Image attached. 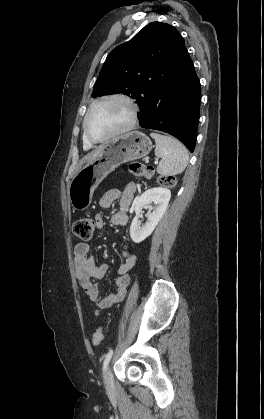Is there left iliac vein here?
Instances as JSON below:
<instances>
[{
    "instance_id": "1",
    "label": "left iliac vein",
    "mask_w": 264,
    "mask_h": 419,
    "mask_svg": "<svg viewBox=\"0 0 264 419\" xmlns=\"http://www.w3.org/2000/svg\"><path fill=\"white\" fill-rule=\"evenodd\" d=\"M104 383L107 389H111L113 387V376H112L110 368H107L105 371Z\"/></svg>"
}]
</instances>
